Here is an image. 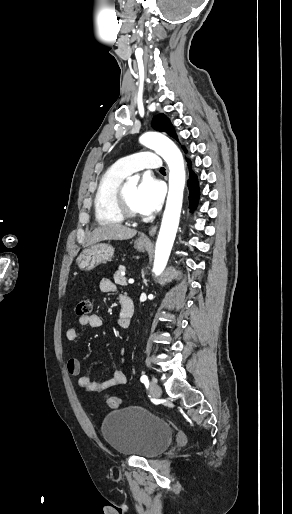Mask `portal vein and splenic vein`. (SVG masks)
Wrapping results in <instances>:
<instances>
[{
  "mask_svg": "<svg viewBox=\"0 0 292 514\" xmlns=\"http://www.w3.org/2000/svg\"><path fill=\"white\" fill-rule=\"evenodd\" d=\"M129 284H134V280H128Z\"/></svg>",
  "mask_w": 292,
  "mask_h": 514,
  "instance_id": "1",
  "label": "portal vein and splenic vein"
}]
</instances>
